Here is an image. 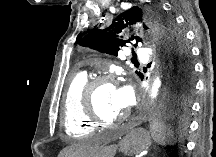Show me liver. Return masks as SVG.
Returning <instances> with one entry per match:
<instances>
[{
	"label": "liver",
	"instance_id": "1",
	"mask_svg": "<svg viewBox=\"0 0 216 157\" xmlns=\"http://www.w3.org/2000/svg\"><path fill=\"white\" fill-rule=\"evenodd\" d=\"M110 147H95L88 142L73 144L60 152L59 157H105Z\"/></svg>",
	"mask_w": 216,
	"mask_h": 157
}]
</instances>
